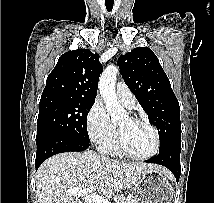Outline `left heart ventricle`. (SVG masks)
<instances>
[{
    "instance_id": "b2bd125f",
    "label": "left heart ventricle",
    "mask_w": 214,
    "mask_h": 203,
    "mask_svg": "<svg viewBox=\"0 0 214 203\" xmlns=\"http://www.w3.org/2000/svg\"><path fill=\"white\" fill-rule=\"evenodd\" d=\"M127 150L135 155H146L154 148V134L146 125L132 121L127 115L119 122Z\"/></svg>"
}]
</instances>
